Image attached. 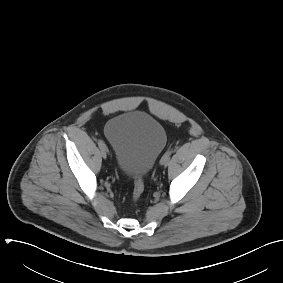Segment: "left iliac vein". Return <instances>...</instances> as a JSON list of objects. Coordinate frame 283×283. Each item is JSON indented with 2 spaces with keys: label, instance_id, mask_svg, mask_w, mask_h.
<instances>
[{
  "label": "left iliac vein",
  "instance_id": "1",
  "mask_svg": "<svg viewBox=\"0 0 283 283\" xmlns=\"http://www.w3.org/2000/svg\"><path fill=\"white\" fill-rule=\"evenodd\" d=\"M160 164L163 165V166H167L168 165L167 162H163V161H160Z\"/></svg>",
  "mask_w": 283,
  "mask_h": 283
}]
</instances>
